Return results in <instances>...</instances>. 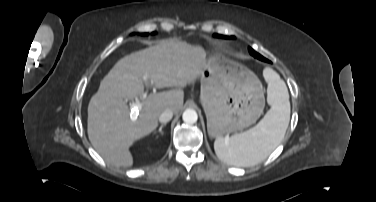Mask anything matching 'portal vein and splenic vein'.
Segmentation results:
<instances>
[{"mask_svg": "<svg viewBox=\"0 0 376 202\" xmlns=\"http://www.w3.org/2000/svg\"><path fill=\"white\" fill-rule=\"evenodd\" d=\"M143 79H144L145 82L148 81L147 76H144ZM146 97H147V93H144L143 96H142V98L145 99ZM131 112H133V113H137L138 112V103L137 102H135V103H133L131 105Z\"/></svg>", "mask_w": 376, "mask_h": 202, "instance_id": "obj_1", "label": "portal vein and splenic vein"}]
</instances>
